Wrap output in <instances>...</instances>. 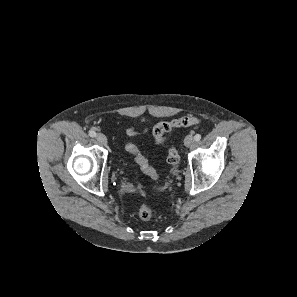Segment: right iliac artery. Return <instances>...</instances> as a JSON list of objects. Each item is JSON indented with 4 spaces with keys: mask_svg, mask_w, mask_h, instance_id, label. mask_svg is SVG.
Here are the masks:
<instances>
[{
    "mask_svg": "<svg viewBox=\"0 0 297 297\" xmlns=\"http://www.w3.org/2000/svg\"><path fill=\"white\" fill-rule=\"evenodd\" d=\"M89 135H90L91 137H95V136H96V132L93 131V130H91V131L89 132Z\"/></svg>",
    "mask_w": 297,
    "mask_h": 297,
    "instance_id": "1",
    "label": "right iliac artery"
}]
</instances>
